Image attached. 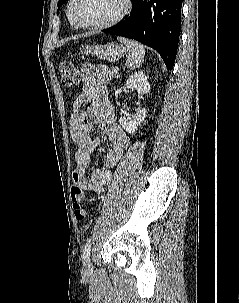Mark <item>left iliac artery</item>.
Returning a JSON list of instances; mask_svg holds the SVG:
<instances>
[{
	"instance_id": "1",
	"label": "left iliac artery",
	"mask_w": 239,
	"mask_h": 303,
	"mask_svg": "<svg viewBox=\"0 0 239 303\" xmlns=\"http://www.w3.org/2000/svg\"><path fill=\"white\" fill-rule=\"evenodd\" d=\"M90 251H91V241H87L84 248H83V251H82V258L85 260L87 258H89V255H90Z\"/></svg>"
}]
</instances>
